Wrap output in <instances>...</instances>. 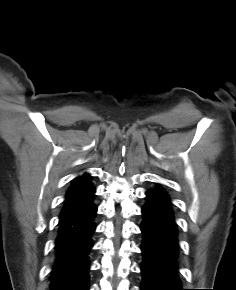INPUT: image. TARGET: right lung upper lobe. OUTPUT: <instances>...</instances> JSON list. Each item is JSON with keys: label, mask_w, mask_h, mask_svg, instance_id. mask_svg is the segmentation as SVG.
I'll list each match as a JSON object with an SVG mask.
<instances>
[{"label": "right lung upper lobe", "mask_w": 236, "mask_h": 290, "mask_svg": "<svg viewBox=\"0 0 236 290\" xmlns=\"http://www.w3.org/2000/svg\"><path fill=\"white\" fill-rule=\"evenodd\" d=\"M87 173L75 178L66 193V200L61 213L69 212L88 203L94 196L95 188L90 183Z\"/></svg>", "instance_id": "right-lung-upper-lobe-1"}]
</instances>
